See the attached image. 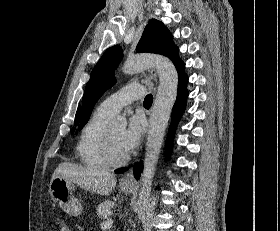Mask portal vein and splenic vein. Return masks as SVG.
<instances>
[{
    "mask_svg": "<svg viewBox=\"0 0 280 231\" xmlns=\"http://www.w3.org/2000/svg\"><path fill=\"white\" fill-rule=\"evenodd\" d=\"M113 223V219H107V221H103V223H101V227L102 229H106V227H111Z\"/></svg>",
    "mask_w": 280,
    "mask_h": 231,
    "instance_id": "1",
    "label": "portal vein and splenic vein"
}]
</instances>
